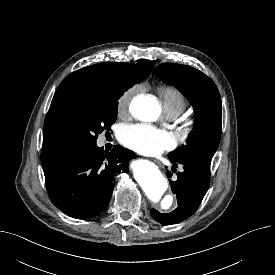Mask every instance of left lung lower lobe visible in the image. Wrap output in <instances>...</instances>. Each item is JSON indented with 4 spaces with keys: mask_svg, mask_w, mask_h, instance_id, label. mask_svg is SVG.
<instances>
[{
    "mask_svg": "<svg viewBox=\"0 0 275 275\" xmlns=\"http://www.w3.org/2000/svg\"><path fill=\"white\" fill-rule=\"evenodd\" d=\"M177 167L182 164L184 171L177 173V180H169L171 190L176 194L178 207L171 213L163 214L155 209H151L152 217L163 225H172L179 223L198 209L210 184V161L203 158H191L181 161H175L169 158ZM168 178L172 173L167 170Z\"/></svg>",
    "mask_w": 275,
    "mask_h": 275,
    "instance_id": "1",
    "label": "left lung lower lobe"
}]
</instances>
